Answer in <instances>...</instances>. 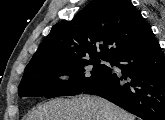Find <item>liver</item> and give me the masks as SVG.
I'll return each instance as SVG.
<instances>
[{"label":"liver","instance_id":"liver-1","mask_svg":"<svg viewBox=\"0 0 165 120\" xmlns=\"http://www.w3.org/2000/svg\"><path fill=\"white\" fill-rule=\"evenodd\" d=\"M27 120H135V117L101 97L81 95L38 105Z\"/></svg>","mask_w":165,"mask_h":120}]
</instances>
